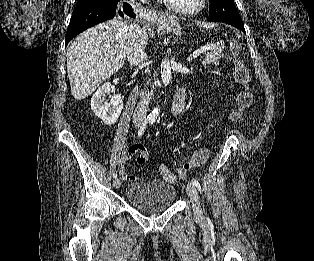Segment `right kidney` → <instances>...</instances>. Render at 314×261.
Masks as SVG:
<instances>
[{
  "label": "right kidney",
  "instance_id": "obj_1",
  "mask_svg": "<svg viewBox=\"0 0 314 261\" xmlns=\"http://www.w3.org/2000/svg\"><path fill=\"white\" fill-rule=\"evenodd\" d=\"M110 91L111 84L106 82L97 89L91 99V109L106 125L114 124L123 109L121 95L110 96V101L105 102L106 95L110 94Z\"/></svg>",
  "mask_w": 314,
  "mask_h": 261
}]
</instances>
